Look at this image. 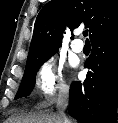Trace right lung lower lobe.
<instances>
[{"label": "right lung lower lobe", "mask_w": 118, "mask_h": 123, "mask_svg": "<svg viewBox=\"0 0 118 123\" xmlns=\"http://www.w3.org/2000/svg\"><path fill=\"white\" fill-rule=\"evenodd\" d=\"M83 83L70 87L69 114L81 123H114L118 103V29L92 42Z\"/></svg>", "instance_id": "obj_1"}]
</instances>
